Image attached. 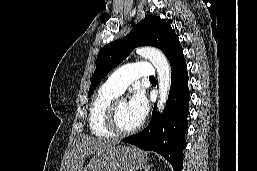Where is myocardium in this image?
Returning a JSON list of instances; mask_svg holds the SVG:
<instances>
[{"mask_svg":"<svg viewBox=\"0 0 257 171\" xmlns=\"http://www.w3.org/2000/svg\"><path fill=\"white\" fill-rule=\"evenodd\" d=\"M121 101H124L121 98L114 99L108 106L105 117V124L107 129L117 136H126L131 135L139 131L143 126V121H140L135 127L130 129H122L117 120V108Z\"/></svg>","mask_w":257,"mask_h":171,"instance_id":"1","label":"myocardium"}]
</instances>
